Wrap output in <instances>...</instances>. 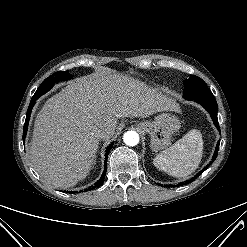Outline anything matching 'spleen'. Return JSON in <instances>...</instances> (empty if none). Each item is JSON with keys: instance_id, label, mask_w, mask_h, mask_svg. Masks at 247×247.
Segmentation results:
<instances>
[{"instance_id": "1", "label": "spleen", "mask_w": 247, "mask_h": 247, "mask_svg": "<svg viewBox=\"0 0 247 247\" xmlns=\"http://www.w3.org/2000/svg\"><path fill=\"white\" fill-rule=\"evenodd\" d=\"M202 154V134L199 130L192 129L171 147L158 154L153 159V164L171 176L187 177L198 168Z\"/></svg>"}]
</instances>
